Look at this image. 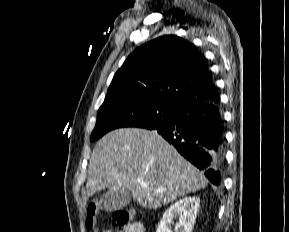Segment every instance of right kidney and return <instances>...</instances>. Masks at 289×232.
Returning <instances> with one entry per match:
<instances>
[{
	"label": "right kidney",
	"instance_id": "ca27d5eb",
	"mask_svg": "<svg viewBox=\"0 0 289 232\" xmlns=\"http://www.w3.org/2000/svg\"><path fill=\"white\" fill-rule=\"evenodd\" d=\"M200 206L199 197H185L171 205L163 214L157 232H173V219L178 218L175 232H192Z\"/></svg>",
	"mask_w": 289,
	"mask_h": 232
}]
</instances>
